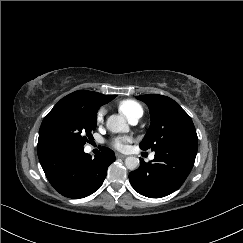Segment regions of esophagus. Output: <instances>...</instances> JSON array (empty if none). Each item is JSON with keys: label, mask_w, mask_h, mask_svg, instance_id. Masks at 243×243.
<instances>
[{"label": "esophagus", "mask_w": 243, "mask_h": 243, "mask_svg": "<svg viewBox=\"0 0 243 243\" xmlns=\"http://www.w3.org/2000/svg\"><path fill=\"white\" fill-rule=\"evenodd\" d=\"M116 157H117V158H125L126 156L123 155V154H120V153H116Z\"/></svg>", "instance_id": "34e87169"}]
</instances>
